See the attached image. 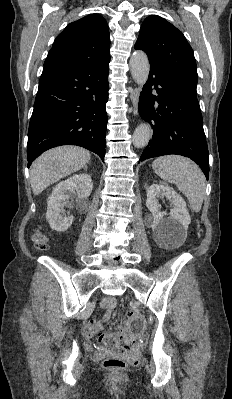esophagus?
I'll list each match as a JSON object with an SVG mask.
<instances>
[{
  "label": "esophagus",
  "mask_w": 232,
  "mask_h": 399,
  "mask_svg": "<svg viewBox=\"0 0 232 399\" xmlns=\"http://www.w3.org/2000/svg\"><path fill=\"white\" fill-rule=\"evenodd\" d=\"M139 92H140V88L136 87L133 90V92L131 93V95H130V99H131V102H132L133 107H134V111H133L134 115L138 114L137 105H138V94H139Z\"/></svg>",
  "instance_id": "esophagus-1"
}]
</instances>
